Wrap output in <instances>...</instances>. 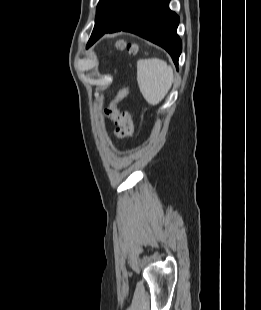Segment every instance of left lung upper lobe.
Instances as JSON below:
<instances>
[{
	"instance_id": "1",
	"label": "left lung upper lobe",
	"mask_w": 261,
	"mask_h": 310,
	"mask_svg": "<svg viewBox=\"0 0 261 310\" xmlns=\"http://www.w3.org/2000/svg\"><path fill=\"white\" fill-rule=\"evenodd\" d=\"M122 0H100L96 10L95 24H106L114 17Z\"/></svg>"
}]
</instances>
